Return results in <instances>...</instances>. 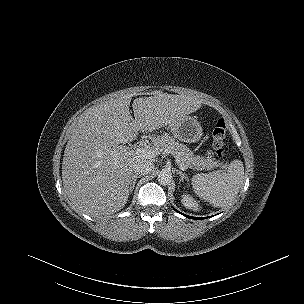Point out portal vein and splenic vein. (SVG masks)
Returning <instances> with one entry per match:
<instances>
[{
	"label": "portal vein and splenic vein",
	"mask_w": 304,
	"mask_h": 304,
	"mask_svg": "<svg viewBox=\"0 0 304 304\" xmlns=\"http://www.w3.org/2000/svg\"><path fill=\"white\" fill-rule=\"evenodd\" d=\"M136 154L142 156V157H147V158H154L157 153L159 152L158 148L155 149H147V148H136L135 150ZM179 168L184 170L186 167L182 164L179 165Z\"/></svg>",
	"instance_id": "obj_1"
}]
</instances>
